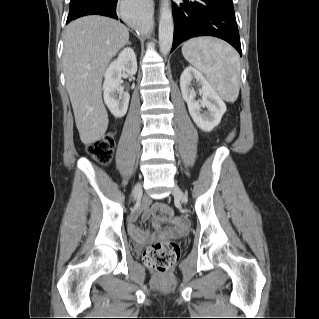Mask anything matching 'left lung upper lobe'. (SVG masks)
I'll list each match as a JSON object with an SVG mask.
<instances>
[{
    "instance_id": "5c2ea615",
    "label": "left lung upper lobe",
    "mask_w": 319,
    "mask_h": 319,
    "mask_svg": "<svg viewBox=\"0 0 319 319\" xmlns=\"http://www.w3.org/2000/svg\"><path fill=\"white\" fill-rule=\"evenodd\" d=\"M218 1L223 2L225 4L233 5V1L232 0H218Z\"/></svg>"
}]
</instances>
